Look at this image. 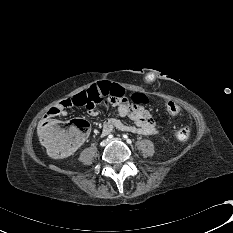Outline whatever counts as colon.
<instances>
[{
    "label": "colon",
    "mask_w": 233,
    "mask_h": 233,
    "mask_svg": "<svg viewBox=\"0 0 233 233\" xmlns=\"http://www.w3.org/2000/svg\"><path fill=\"white\" fill-rule=\"evenodd\" d=\"M113 93L117 100L124 93V86L119 81L100 80L95 86L82 91L71 98L74 106L86 107L94 111L101 97ZM168 116H176L180 113V107L168 102L165 107ZM90 130V124L84 119H74L69 123H44L39 130V137L48 152L55 158H66L72 155L77 147L84 141ZM191 131L187 127L178 128L175 137L178 140H187Z\"/></svg>",
    "instance_id": "obj_1"
}]
</instances>
